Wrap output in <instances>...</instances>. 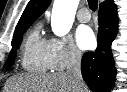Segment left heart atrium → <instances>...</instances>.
<instances>
[{
  "instance_id": "1",
  "label": "left heart atrium",
  "mask_w": 127,
  "mask_h": 92,
  "mask_svg": "<svg viewBox=\"0 0 127 92\" xmlns=\"http://www.w3.org/2000/svg\"><path fill=\"white\" fill-rule=\"evenodd\" d=\"M76 41L83 50L91 49L96 42L92 29L88 26H80L76 31Z\"/></svg>"
}]
</instances>
